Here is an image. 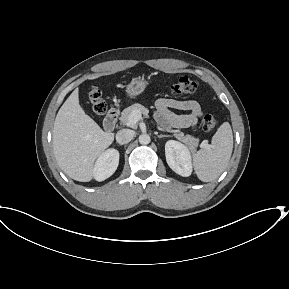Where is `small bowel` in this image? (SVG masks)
I'll list each match as a JSON object with an SVG mask.
<instances>
[{
  "label": "small bowel",
  "instance_id": "small-bowel-1",
  "mask_svg": "<svg viewBox=\"0 0 289 289\" xmlns=\"http://www.w3.org/2000/svg\"><path fill=\"white\" fill-rule=\"evenodd\" d=\"M172 109L187 111L188 113L176 114ZM156 116L167 127L186 128L197 123L202 116V110L198 102L194 100L161 98L156 103Z\"/></svg>",
  "mask_w": 289,
  "mask_h": 289
}]
</instances>
